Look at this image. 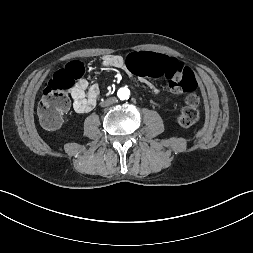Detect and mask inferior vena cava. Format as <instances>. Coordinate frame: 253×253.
Listing matches in <instances>:
<instances>
[{"instance_id":"obj_1","label":"inferior vena cava","mask_w":253,"mask_h":253,"mask_svg":"<svg viewBox=\"0 0 253 253\" xmlns=\"http://www.w3.org/2000/svg\"><path fill=\"white\" fill-rule=\"evenodd\" d=\"M115 101H116V98L112 97V98L107 99L105 102H103L102 105L109 106V105H112Z\"/></svg>"}]
</instances>
